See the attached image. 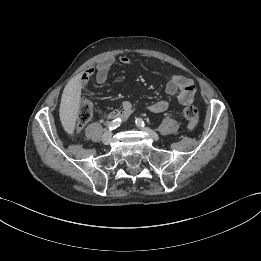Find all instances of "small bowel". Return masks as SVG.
<instances>
[{
	"instance_id": "small-bowel-1",
	"label": "small bowel",
	"mask_w": 261,
	"mask_h": 261,
	"mask_svg": "<svg viewBox=\"0 0 261 261\" xmlns=\"http://www.w3.org/2000/svg\"><path fill=\"white\" fill-rule=\"evenodd\" d=\"M123 65H129L130 59L123 55L119 58ZM114 58L102 60L96 67L86 70L79 79V85L85 84L91 77H95L98 84H103L107 78L111 66L114 64ZM165 90L168 94L177 95L180 105H189L193 103L196 95V87L193 81L182 75H171L166 83ZM171 102L169 100H159L147 106V110L151 113H162L169 109ZM134 112V106L129 101H124L121 106L105 115L107 120L121 119L125 121Z\"/></svg>"
}]
</instances>
